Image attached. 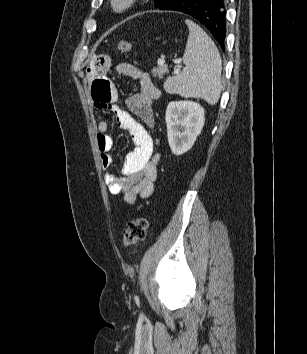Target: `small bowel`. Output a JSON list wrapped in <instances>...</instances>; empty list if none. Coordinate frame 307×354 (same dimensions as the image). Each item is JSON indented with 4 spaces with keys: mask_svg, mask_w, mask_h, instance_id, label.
Returning <instances> with one entry per match:
<instances>
[{
    "mask_svg": "<svg viewBox=\"0 0 307 354\" xmlns=\"http://www.w3.org/2000/svg\"><path fill=\"white\" fill-rule=\"evenodd\" d=\"M110 66L108 55H96L88 64L86 75L88 81L92 82L91 95L95 106L111 112L117 125L129 132L134 143L133 151L125 157L120 176L111 173L105 176L109 192L121 194L127 204L133 205L138 198H148L154 192L158 157H153L154 142L150 132L154 129L153 102L160 97V91L146 71L130 63L119 64L117 71L139 85V92L125 100V110L117 104V89L106 77ZM108 130L107 120L101 119L97 124V144L104 170L113 164L110 154L113 138Z\"/></svg>",
    "mask_w": 307,
    "mask_h": 354,
    "instance_id": "obj_1",
    "label": "small bowel"
}]
</instances>
